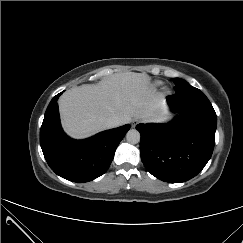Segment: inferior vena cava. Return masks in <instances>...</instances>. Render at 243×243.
Here are the masks:
<instances>
[{
    "label": "inferior vena cava",
    "mask_w": 243,
    "mask_h": 243,
    "mask_svg": "<svg viewBox=\"0 0 243 243\" xmlns=\"http://www.w3.org/2000/svg\"><path fill=\"white\" fill-rule=\"evenodd\" d=\"M106 125L108 128H113L121 125V120L118 117H110L106 120Z\"/></svg>",
    "instance_id": "1"
}]
</instances>
